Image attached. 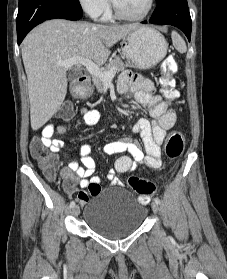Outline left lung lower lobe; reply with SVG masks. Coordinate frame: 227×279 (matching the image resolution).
Masks as SVG:
<instances>
[{
  "label": "left lung lower lobe",
  "mask_w": 227,
  "mask_h": 279,
  "mask_svg": "<svg viewBox=\"0 0 227 279\" xmlns=\"http://www.w3.org/2000/svg\"><path fill=\"white\" fill-rule=\"evenodd\" d=\"M153 24H167L179 28L190 41L192 21L187 0H161L150 20ZM142 23H147L143 21Z\"/></svg>",
  "instance_id": "obj_1"
}]
</instances>
